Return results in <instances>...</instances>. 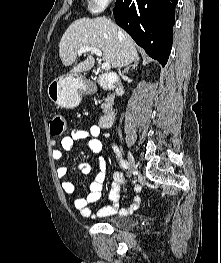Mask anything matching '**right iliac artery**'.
Wrapping results in <instances>:
<instances>
[{
  "mask_svg": "<svg viewBox=\"0 0 221 263\" xmlns=\"http://www.w3.org/2000/svg\"><path fill=\"white\" fill-rule=\"evenodd\" d=\"M113 149H114V152L117 154V156H118L119 159H120V164H121V166H122L123 168H125V169H128V168H129V164H128L127 161H125L124 159H122L118 147L114 145V146H113Z\"/></svg>",
  "mask_w": 221,
  "mask_h": 263,
  "instance_id": "82829eb1",
  "label": "right iliac artery"
}]
</instances>
